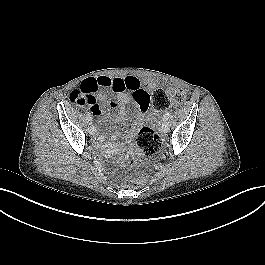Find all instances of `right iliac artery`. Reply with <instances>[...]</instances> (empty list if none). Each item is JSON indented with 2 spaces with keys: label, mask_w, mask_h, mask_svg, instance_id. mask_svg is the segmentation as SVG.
Listing matches in <instances>:
<instances>
[{
  "label": "right iliac artery",
  "mask_w": 265,
  "mask_h": 265,
  "mask_svg": "<svg viewBox=\"0 0 265 265\" xmlns=\"http://www.w3.org/2000/svg\"><path fill=\"white\" fill-rule=\"evenodd\" d=\"M86 119L88 121H92V117H91V114L89 112L86 113Z\"/></svg>",
  "instance_id": "right-iliac-artery-1"
}]
</instances>
